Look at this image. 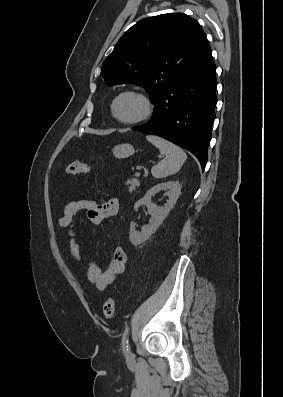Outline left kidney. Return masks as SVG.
Segmentation results:
<instances>
[{"label":"left kidney","mask_w":283,"mask_h":397,"mask_svg":"<svg viewBox=\"0 0 283 397\" xmlns=\"http://www.w3.org/2000/svg\"><path fill=\"white\" fill-rule=\"evenodd\" d=\"M168 190L169 200L165 203L164 207H158L151 202V197L156 193ZM181 194V185L177 181H169L161 184H157L147 191L145 196L138 200L134 204V210L136 211L140 206L145 205L148 209L151 219L149 223L144 226L141 233L135 229V223L131 222L129 237L130 241L134 246H138L145 242L149 237L155 233L157 228L162 224L163 220L168 216L169 212L173 209L179 195Z\"/></svg>","instance_id":"obj_1"}]
</instances>
